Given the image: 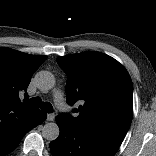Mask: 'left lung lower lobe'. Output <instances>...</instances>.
Returning <instances> with one entry per match:
<instances>
[{
    "label": "left lung lower lobe",
    "instance_id": "left-lung-lower-lobe-1",
    "mask_svg": "<svg viewBox=\"0 0 156 156\" xmlns=\"http://www.w3.org/2000/svg\"><path fill=\"white\" fill-rule=\"evenodd\" d=\"M59 137L50 143L53 156H114L120 143L102 134L76 128L63 115L57 116Z\"/></svg>",
    "mask_w": 156,
    "mask_h": 156
}]
</instances>
